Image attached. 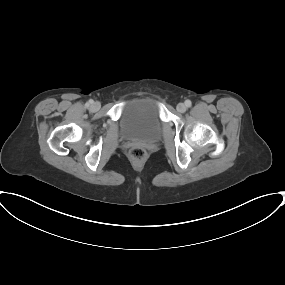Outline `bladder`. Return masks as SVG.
<instances>
[{"label": "bladder", "instance_id": "1", "mask_svg": "<svg viewBox=\"0 0 285 285\" xmlns=\"http://www.w3.org/2000/svg\"><path fill=\"white\" fill-rule=\"evenodd\" d=\"M120 129L127 140L157 141L161 137L162 122L156 101L141 97L128 102L121 113Z\"/></svg>", "mask_w": 285, "mask_h": 285}]
</instances>
